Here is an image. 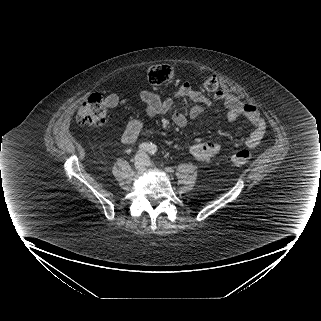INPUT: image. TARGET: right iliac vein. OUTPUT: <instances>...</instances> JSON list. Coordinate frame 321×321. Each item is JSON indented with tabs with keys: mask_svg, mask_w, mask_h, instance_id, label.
<instances>
[{
	"mask_svg": "<svg viewBox=\"0 0 321 321\" xmlns=\"http://www.w3.org/2000/svg\"><path fill=\"white\" fill-rule=\"evenodd\" d=\"M133 162H134V166L137 171H139V172L144 171L145 162L141 156H139V155L135 156V158L133 159Z\"/></svg>",
	"mask_w": 321,
	"mask_h": 321,
	"instance_id": "right-iliac-vein-1",
	"label": "right iliac vein"
}]
</instances>
